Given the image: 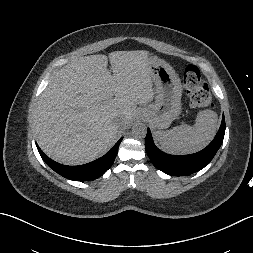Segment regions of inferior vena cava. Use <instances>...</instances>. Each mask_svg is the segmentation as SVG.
Wrapping results in <instances>:
<instances>
[{
    "mask_svg": "<svg viewBox=\"0 0 253 253\" xmlns=\"http://www.w3.org/2000/svg\"><path fill=\"white\" fill-rule=\"evenodd\" d=\"M115 126L117 127V128H119V129H124L125 127H126V122H125V120L124 119H122L121 117H116L115 118Z\"/></svg>",
    "mask_w": 253,
    "mask_h": 253,
    "instance_id": "602c4592",
    "label": "inferior vena cava"
}]
</instances>
